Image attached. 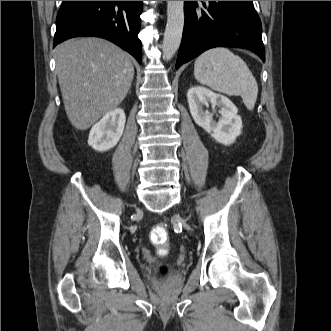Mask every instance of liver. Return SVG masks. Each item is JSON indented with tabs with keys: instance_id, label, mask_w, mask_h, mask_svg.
<instances>
[{
	"instance_id": "obj_1",
	"label": "liver",
	"mask_w": 331,
	"mask_h": 331,
	"mask_svg": "<svg viewBox=\"0 0 331 331\" xmlns=\"http://www.w3.org/2000/svg\"><path fill=\"white\" fill-rule=\"evenodd\" d=\"M64 108L71 124L87 130L116 109L131 86L129 54L101 38H73L55 49Z\"/></svg>"
}]
</instances>
